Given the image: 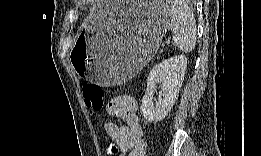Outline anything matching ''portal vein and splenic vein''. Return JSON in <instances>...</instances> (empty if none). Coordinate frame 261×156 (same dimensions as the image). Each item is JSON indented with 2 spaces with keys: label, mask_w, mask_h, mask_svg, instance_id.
<instances>
[{
  "label": "portal vein and splenic vein",
  "mask_w": 261,
  "mask_h": 156,
  "mask_svg": "<svg viewBox=\"0 0 261 156\" xmlns=\"http://www.w3.org/2000/svg\"><path fill=\"white\" fill-rule=\"evenodd\" d=\"M166 44H170V40H166Z\"/></svg>",
  "instance_id": "1"
}]
</instances>
